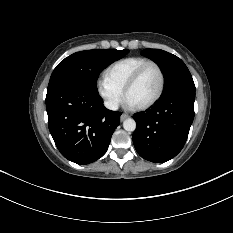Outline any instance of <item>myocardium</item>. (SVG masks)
<instances>
[{
  "label": "myocardium",
  "instance_id": "f54148a6",
  "mask_svg": "<svg viewBox=\"0 0 233 233\" xmlns=\"http://www.w3.org/2000/svg\"><path fill=\"white\" fill-rule=\"evenodd\" d=\"M150 66H154L157 69L159 76H160V86H159V89H158L156 95L151 100H149L148 102H146L143 105L136 106L137 109H140V110H145V109H148L149 107L153 106L161 98V96L164 92L165 74H164V71H163L161 65L155 61H152V60L145 62L131 75V77L127 81V83L124 87V90H123L124 96H125V98H127V95H128V92L130 91V89L137 83V81L143 75L145 70Z\"/></svg>",
  "mask_w": 233,
  "mask_h": 233
}]
</instances>
